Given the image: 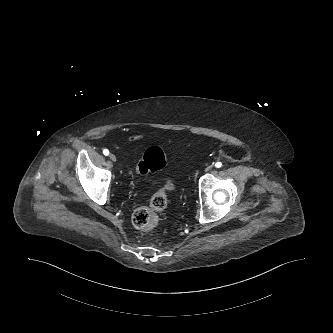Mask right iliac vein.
Returning a JSON list of instances; mask_svg holds the SVG:
<instances>
[{"label": "right iliac vein", "mask_w": 333, "mask_h": 333, "mask_svg": "<svg viewBox=\"0 0 333 333\" xmlns=\"http://www.w3.org/2000/svg\"><path fill=\"white\" fill-rule=\"evenodd\" d=\"M109 158H110L113 162L116 161V156H115L114 154H112V153L109 155Z\"/></svg>", "instance_id": "right-iliac-vein-1"}]
</instances>
